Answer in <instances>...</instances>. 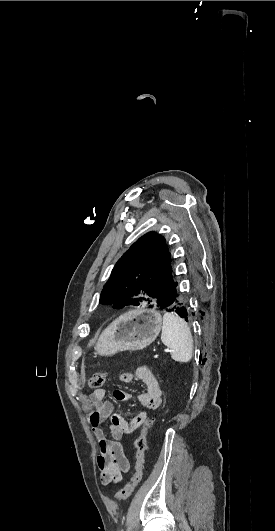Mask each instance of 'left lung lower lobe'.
<instances>
[{"label": "left lung lower lobe", "instance_id": "1", "mask_svg": "<svg viewBox=\"0 0 275 531\" xmlns=\"http://www.w3.org/2000/svg\"><path fill=\"white\" fill-rule=\"evenodd\" d=\"M167 312H173L184 318L187 322L190 317V312L188 311L187 303L181 294L176 293L174 299L171 300L169 305L164 307ZM194 315V314H193Z\"/></svg>", "mask_w": 275, "mask_h": 531}]
</instances>
